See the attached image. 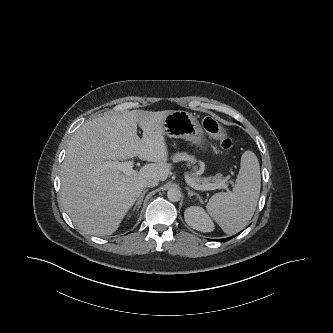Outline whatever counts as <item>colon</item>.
<instances>
[{"label": "colon", "mask_w": 333, "mask_h": 333, "mask_svg": "<svg viewBox=\"0 0 333 333\" xmlns=\"http://www.w3.org/2000/svg\"><path fill=\"white\" fill-rule=\"evenodd\" d=\"M203 126L211 136L218 140L222 150H229L232 147V140L214 118L206 117L203 121Z\"/></svg>", "instance_id": "5ec220e1"}]
</instances>
